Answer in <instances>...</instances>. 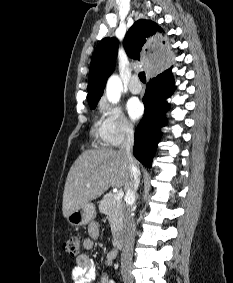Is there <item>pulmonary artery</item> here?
Wrapping results in <instances>:
<instances>
[{
	"mask_svg": "<svg viewBox=\"0 0 233 283\" xmlns=\"http://www.w3.org/2000/svg\"><path fill=\"white\" fill-rule=\"evenodd\" d=\"M129 91L132 94H139L142 91V86L137 75H133L129 82Z\"/></svg>",
	"mask_w": 233,
	"mask_h": 283,
	"instance_id": "e3ab8cb5",
	"label": "pulmonary artery"
}]
</instances>
